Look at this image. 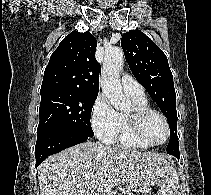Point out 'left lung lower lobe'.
<instances>
[{"label": "left lung lower lobe", "instance_id": "0a47b994", "mask_svg": "<svg viewBox=\"0 0 211 195\" xmlns=\"http://www.w3.org/2000/svg\"><path fill=\"white\" fill-rule=\"evenodd\" d=\"M174 156L179 159L180 154L179 153H176Z\"/></svg>", "mask_w": 211, "mask_h": 195}]
</instances>
